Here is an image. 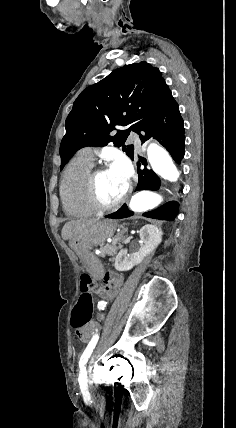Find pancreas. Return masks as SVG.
Wrapping results in <instances>:
<instances>
[{"mask_svg":"<svg viewBox=\"0 0 236 428\" xmlns=\"http://www.w3.org/2000/svg\"><path fill=\"white\" fill-rule=\"evenodd\" d=\"M122 236L119 234V236H115L113 242L111 244H106V246H101L100 248V256L101 258H105V256H116L118 248L120 246H117L119 240H121Z\"/></svg>","mask_w":236,"mask_h":428,"instance_id":"cf45deb5","label":"pancreas"}]
</instances>
